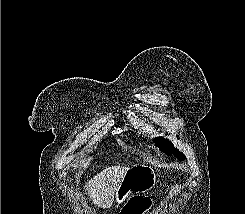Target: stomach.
<instances>
[{
    "label": "stomach",
    "mask_w": 245,
    "mask_h": 214,
    "mask_svg": "<svg viewBox=\"0 0 245 214\" xmlns=\"http://www.w3.org/2000/svg\"><path fill=\"white\" fill-rule=\"evenodd\" d=\"M158 182L153 168L148 165H134L129 168L116 191L115 202L124 203L133 193H145L154 188Z\"/></svg>",
    "instance_id": "0dacf381"
}]
</instances>
